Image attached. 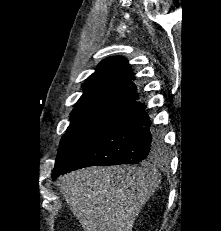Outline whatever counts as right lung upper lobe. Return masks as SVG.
I'll return each mask as SVG.
<instances>
[{
  "label": "right lung upper lobe",
  "instance_id": "obj_1",
  "mask_svg": "<svg viewBox=\"0 0 221 231\" xmlns=\"http://www.w3.org/2000/svg\"><path fill=\"white\" fill-rule=\"evenodd\" d=\"M133 73L126 58L121 56L103 60L95 73L83 85L84 93L77 103L101 97H113L134 102L138 99Z\"/></svg>",
  "mask_w": 221,
  "mask_h": 231
}]
</instances>
